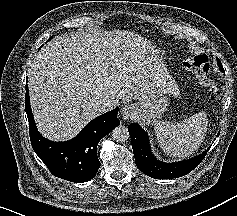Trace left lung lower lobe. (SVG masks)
<instances>
[{
    "instance_id": "1",
    "label": "left lung lower lobe",
    "mask_w": 237,
    "mask_h": 216,
    "mask_svg": "<svg viewBox=\"0 0 237 216\" xmlns=\"http://www.w3.org/2000/svg\"><path fill=\"white\" fill-rule=\"evenodd\" d=\"M128 131L137 167L149 177L155 179L178 178L191 172L204 159L210 147L197 157L177 163H163L151 153L148 135L135 123L130 124Z\"/></svg>"
}]
</instances>
